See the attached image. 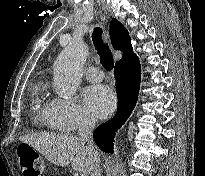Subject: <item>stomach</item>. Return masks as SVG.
<instances>
[{
    "label": "stomach",
    "instance_id": "stomach-1",
    "mask_svg": "<svg viewBox=\"0 0 205 176\" xmlns=\"http://www.w3.org/2000/svg\"><path fill=\"white\" fill-rule=\"evenodd\" d=\"M23 149L25 150H32L33 152L37 153L36 149H34L33 147H31L30 145L26 144V146H21Z\"/></svg>",
    "mask_w": 205,
    "mask_h": 176
}]
</instances>
